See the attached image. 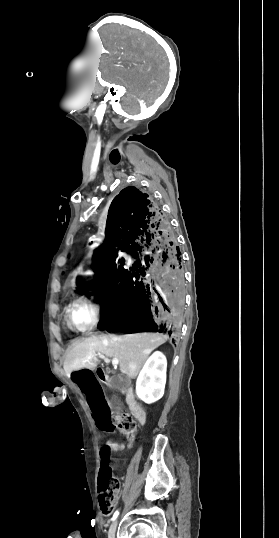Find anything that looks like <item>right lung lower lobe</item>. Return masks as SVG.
<instances>
[{
  "instance_id": "right-lung-lower-lobe-1",
  "label": "right lung lower lobe",
  "mask_w": 279,
  "mask_h": 538,
  "mask_svg": "<svg viewBox=\"0 0 279 538\" xmlns=\"http://www.w3.org/2000/svg\"><path fill=\"white\" fill-rule=\"evenodd\" d=\"M105 233L93 258L101 304L98 329L175 334L185 311V278L181 252L160 206L127 187L111 203ZM119 250L137 260L120 261Z\"/></svg>"
}]
</instances>
